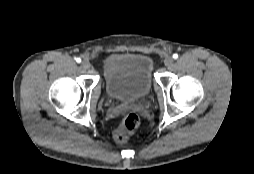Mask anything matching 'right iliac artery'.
Instances as JSON below:
<instances>
[{
	"mask_svg": "<svg viewBox=\"0 0 254 174\" xmlns=\"http://www.w3.org/2000/svg\"><path fill=\"white\" fill-rule=\"evenodd\" d=\"M77 63H80L81 62V59L80 58H76L75 59Z\"/></svg>",
	"mask_w": 254,
	"mask_h": 174,
	"instance_id": "right-iliac-artery-1",
	"label": "right iliac artery"
}]
</instances>
